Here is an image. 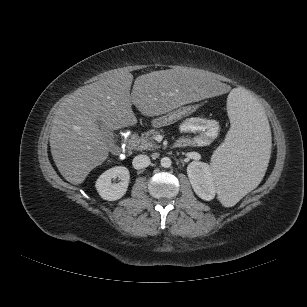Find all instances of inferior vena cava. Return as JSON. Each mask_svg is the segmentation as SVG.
<instances>
[{
	"mask_svg": "<svg viewBox=\"0 0 307 307\" xmlns=\"http://www.w3.org/2000/svg\"><path fill=\"white\" fill-rule=\"evenodd\" d=\"M132 165L137 170L146 168L150 165V158L147 155H137L133 159Z\"/></svg>",
	"mask_w": 307,
	"mask_h": 307,
	"instance_id": "1",
	"label": "inferior vena cava"
}]
</instances>
